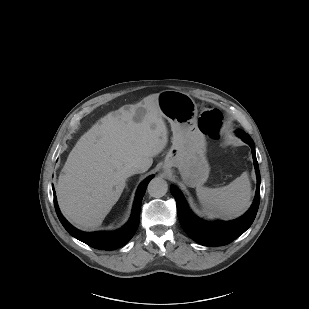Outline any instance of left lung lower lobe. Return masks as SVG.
Returning <instances> with one entry per match:
<instances>
[{"instance_id": "1", "label": "left lung lower lobe", "mask_w": 309, "mask_h": 309, "mask_svg": "<svg viewBox=\"0 0 309 309\" xmlns=\"http://www.w3.org/2000/svg\"><path fill=\"white\" fill-rule=\"evenodd\" d=\"M236 134L251 147L257 175L256 196L251 208L246 214L230 222L218 221L207 223L191 213L182 193L176 187L171 188V193L177 203L178 218L184 231L190 238L204 246H222L229 244L251 226L258 211L260 202V172L256 159L255 146L250 136L244 131L237 130Z\"/></svg>"}]
</instances>
